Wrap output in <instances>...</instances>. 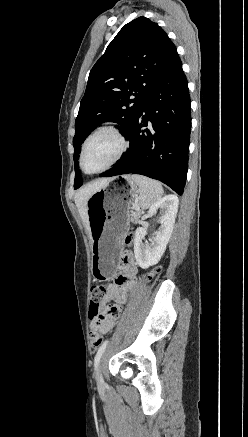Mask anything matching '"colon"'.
I'll return each instance as SVG.
<instances>
[{
	"label": "colon",
	"instance_id": "obj_1",
	"mask_svg": "<svg viewBox=\"0 0 248 437\" xmlns=\"http://www.w3.org/2000/svg\"><path fill=\"white\" fill-rule=\"evenodd\" d=\"M126 243H130L131 236L128 235L126 237ZM160 269L156 268L153 270L148 276V279H151L155 274L159 273ZM106 295V290L103 286H94L91 289V304L89 309V318L91 320V331L89 334L90 343L93 347H98L103 341V335L98 330L99 321L103 318L102 315V307L104 304ZM112 312V309H110Z\"/></svg>",
	"mask_w": 248,
	"mask_h": 437
}]
</instances>
